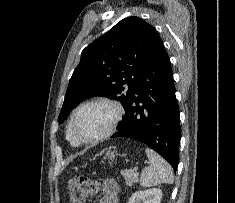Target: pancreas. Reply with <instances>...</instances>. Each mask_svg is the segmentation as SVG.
<instances>
[{
  "label": "pancreas",
  "instance_id": "pancreas-1",
  "mask_svg": "<svg viewBox=\"0 0 235 203\" xmlns=\"http://www.w3.org/2000/svg\"><path fill=\"white\" fill-rule=\"evenodd\" d=\"M122 176L128 186L133 185V183L138 182L137 175L133 170H123L121 171Z\"/></svg>",
  "mask_w": 235,
  "mask_h": 203
}]
</instances>
